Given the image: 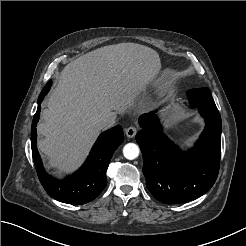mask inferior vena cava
<instances>
[{
	"label": "inferior vena cava",
	"instance_id": "1",
	"mask_svg": "<svg viewBox=\"0 0 246 246\" xmlns=\"http://www.w3.org/2000/svg\"><path fill=\"white\" fill-rule=\"evenodd\" d=\"M116 113L111 112L100 118L98 125L103 128H110L115 124Z\"/></svg>",
	"mask_w": 246,
	"mask_h": 246
}]
</instances>
